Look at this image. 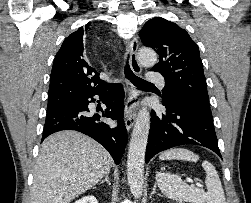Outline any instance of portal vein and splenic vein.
I'll use <instances>...</instances> for the list:
<instances>
[{"label":"portal vein and splenic vein","mask_w":251,"mask_h":203,"mask_svg":"<svg viewBox=\"0 0 251 203\" xmlns=\"http://www.w3.org/2000/svg\"><path fill=\"white\" fill-rule=\"evenodd\" d=\"M196 186L197 187H202V185L199 182L196 183Z\"/></svg>","instance_id":"obj_1"}]
</instances>
